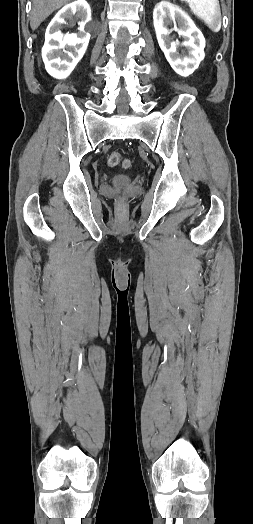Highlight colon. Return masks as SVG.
<instances>
[{
	"label": "colon",
	"mask_w": 253,
	"mask_h": 524,
	"mask_svg": "<svg viewBox=\"0 0 253 524\" xmlns=\"http://www.w3.org/2000/svg\"><path fill=\"white\" fill-rule=\"evenodd\" d=\"M107 164L110 167L122 165L123 167L128 168L130 166V162L124 160L118 151H113L109 153V155L107 156ZM118 204L120 206H124L126 204V198L124 196L120 197Z\"/></svg>",
	"instance_id": "colon-1"
}]
</instances>
